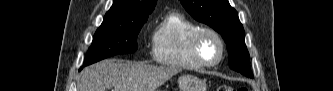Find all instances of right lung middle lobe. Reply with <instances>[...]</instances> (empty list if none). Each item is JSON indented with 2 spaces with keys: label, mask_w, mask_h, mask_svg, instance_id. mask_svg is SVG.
<instances>
[{
  "label": "right lung middle lobe",
  "mask_w": 333,
  "mask_h": 91,
  "mask_svg": "<svg viewBox=\"0 0 333 91\" xmlns=\"http://www.w3.org/2000/svg\"><path fill=\"white\" fill-rule=\"evenodd\" d=\"M147 18L133 20H106L97 29L84 65H89L117 54L133 53L137 50V35Z\"/></svg>",
  "instance_id": "dd1d6c3e"
}]
</instances>
